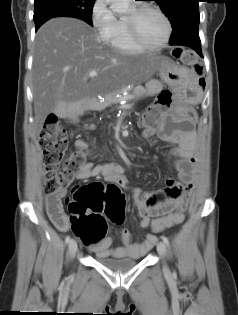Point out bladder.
<instances>
[{"label":"bladder","instance_id":"obj_1","mask_svg":"<svg viewBox=\"0 0 238 315\" xmlns=\"http://www.w3.org/2000/svg\"><path fill=\"white\" fill-rule=\"evenodd\" d=\"M97 262L100 263L106 269L113 272H125L137 265L139 259L129 258V259H109L104 257L97 258Z\"/></svg>","mask_w":238,"mask_h":315}]
</instances>
